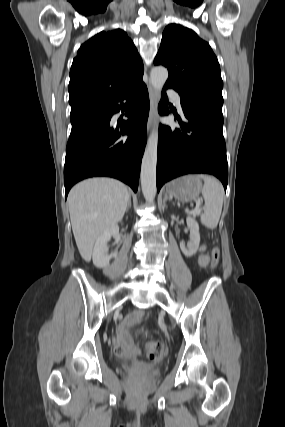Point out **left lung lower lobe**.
<instances>
[{
	"label": "left lung lower lobe",
	"mask_w": 285,
	"mask_h": 427,
	"mask_svg": "<svg viewBox=\"0 0 285 427\" xmlns=\"http://www.w3.org/2000/svg\"><path fill=\"white\" fill-rule=\"evenodd\" d=\"M164 86L163 97L166 101ZM187 122L177 118L181 129L160 125L157 190L178 176L189 173H207L219 178L226 191L228 165L226 145L223 137V115L215 109L188 108L182 104ZM161 115H168L165 102L160 104Z\"/></svg>",
	"instance_id": "1"
}]
</instances>
